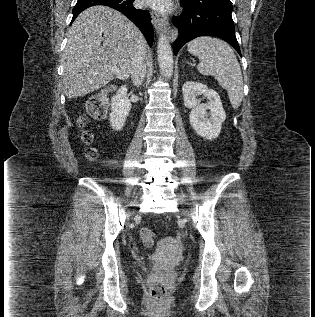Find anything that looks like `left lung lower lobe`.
Here are the masks:
<instances>
[{"label": "left lung lower lobe", "instance_id": "left-lung-lower-lobe-1", "mask_svg": "<svg viewBox=\"0 0 315 317\" xmlns=\"http://www.w3.org/2000/svg\"><path fill=\"white\" fill-rule=\"evenodd\" d=\"M184 11L173 17V25L179 29V36L173 44L176 55L180 48L199 36H214L227 41L241 55L232 20V7L219 6L206 1H183Z\"/></svg>", "mask_w": 315, "mask_h": 317}]
</instances>
